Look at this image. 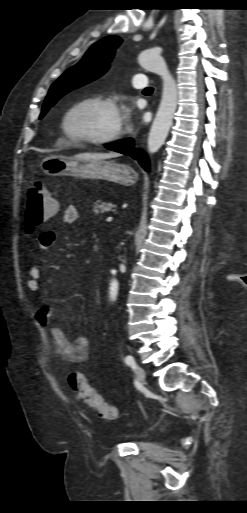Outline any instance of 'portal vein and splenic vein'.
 Instances as JSON below:
<instances>
[{
    "instance_id": "1",
    "label": "portal vein and splenic vein",
    "mask_w": 247,
    "mask_h": 513,
    "mask_svg": "<svg viewBox=\"0 0 247 513\" xmlns=\"http://www.w3.org/2000/svg\"><path fill=\"white\" fill-rule=\"evenodd\" d=\"M112 220H113V218H112V217H107V218H106V222H111Z\"/></svg>"
}]
</instances>
